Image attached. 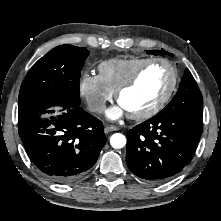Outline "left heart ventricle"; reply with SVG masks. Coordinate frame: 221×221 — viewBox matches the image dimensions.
I'll use <instances>...</instances> for the list:
<instances>
[{"instance_id": "b2bd125f", "label": "left heart ventricle", "mask_w": 221, "mask_h": 221, "mask_svg": "<svg viewBox=\"0 0 221 221\" xmlns=\"http://www.w3.org/2000/svg\"><path fill=\"white\" fill-rule=\"evenodd\" d=\"M170 69L161 63L148 66L138 81L120 97L119 103L127 113H140L150 108L167 90Z\"/></svg>"}]
</instances>
